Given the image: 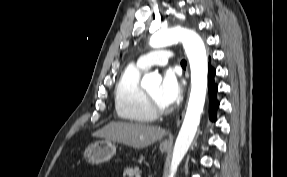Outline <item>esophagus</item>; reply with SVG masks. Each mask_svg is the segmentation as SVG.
I'll return each mask as SVG.
<instances>
[{
    "instance_id": "34e87169",
    "label": "esophagus",
    "mask_w": 287,
    "mask_h": 177,
    "mask_svg": "<svg viewBox=\"0 0 287 177\" xmlns=\"http://www.w3.org/2000/svg\"><path fill=\"white\" fill-rule=\"evenodd\" d=\"M183 117H184V110L181 112V114L177 117V126H179L180 125V123L182 122V120H183ZM172 143V141L171 140H167L164 144L165 145H170Z\"/></svg>"
}]
</instances>
